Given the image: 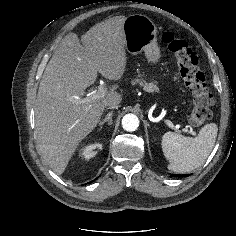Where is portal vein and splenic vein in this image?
<instances>
[{
	"label": "portal vein and splenic vein",
	"instance_id": "18ae733b",
	"mask_svg": "<svg viewBox=\"0 0 236 236\" xmlns=\"http://www.w3.org/2000/svg\"><path fill=\"white\" fill-rule=\"evenodd\" d=\"M107 94V89L103 84H100L98 86L97 91L91 92L87 95L86 98L79 99V102L81 103H92L97 100H100L104 98ZM165 123L172 129H179L180 125H174L171 121L165 120Z\"/></svg>",
	"mask_w": 236,
	"mask_h": 236
}]
</instances>
